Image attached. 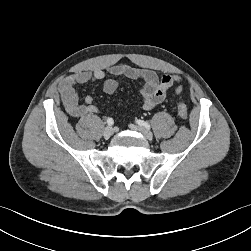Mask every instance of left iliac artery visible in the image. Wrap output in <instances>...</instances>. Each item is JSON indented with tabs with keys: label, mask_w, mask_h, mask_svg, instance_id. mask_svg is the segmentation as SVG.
<instances>
[{
	"label": "left iliac artery",
	"mask_w": 251,
	"mask_h": 251,
	"mask_svg": "<svg viewBox=\"0 0 251 251\" xmlns=\"http://www.w3.org/2000/svg\"><path fill=\"white\" fill-rule=\"evenodd\" d=\"M136 123H137L139 126L144 127V128H146V129H148V130H150V128H151V127H150V124H149L148 122H146V121L137 119V120H136Z\"/></svg>",
	"instance_id": "1"
}]
</instances>
